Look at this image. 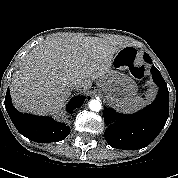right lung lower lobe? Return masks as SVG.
<instances>
[{"mask_svg":"<svg viewBox=\"0 0 178 178\" xmlns=\"http://www.w3.org/2000/svg\"><path fill=\"white\" fill-rule=\"evenodd\" d=\"M85 101L84 96H75L67 105V111L72 113ZM5 108L17 130L26 138L41 143L58 142L67 137L70 127L64 123L53 121L50 117L22 114L14 108L9 89L5 97Z\"/></svg>","mask_w":178,"mask_h":178,"instance_id":"1","label":"right lung lower lobe"}]
</instances>
